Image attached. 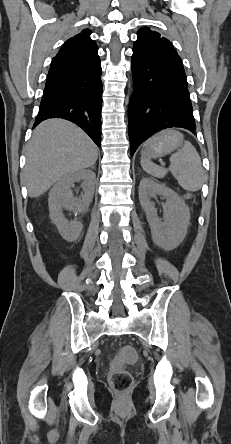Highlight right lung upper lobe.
Segmentation results:
<instances>
[{"label": "right lung upper lobe", "mask_w": 231, "mask_h": 444, "mask_svg": "<svg viewBox=\"0 0 231 444\" xmlns=\"http://www.w3.org/2000/svg\"><path fill=\"white\" fill-rule=\"evenodd\" d=\"M90 33L85 29L62 45L51 62L47 81L87 73L100 67L98 47L90 38Z\"/></svg>", "instance_id": "obj_1"}]
</instances>
